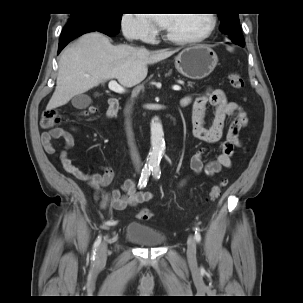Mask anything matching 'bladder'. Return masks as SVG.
<instances>
[{"mask_svg": "<svg viewBox=\"0 0 303 303\" xmlns=\"http://www.w3.org/2000/svg\"><path fill=\"white\" fill-rule=\"evenodd\" d=\"M125 237L144 247H158L167 240L163 233L137 222L128 224Z\"/></svg>", "mask_w": 303, "mask_h": 303, "instance_id": "bladder-1", "label": "bladder"}]
</instances>
